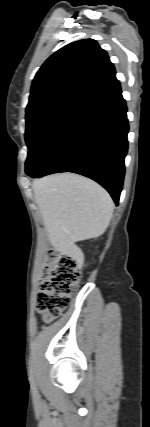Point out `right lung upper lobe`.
I'll use <instances>...</instances> for the list:
<instances>
[{
    "label": "right lung upper lobe",
    "instance_id": "cb5924a9",
    "mask_svg": "<svg viewBox=\"0 0 150 427\" xmlns=\"http://www.w3.org/2000/svg\"><path fill=\"white\" fill-rule=\"evenodd\" d=\"M117 83L113 64L95 40L70 43L37 72L26 114L57 104L81 107Z\"/></svg>",
    "mask_w": 150,
    "mask_h": 427
}]
</instances>
